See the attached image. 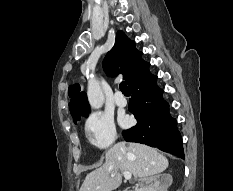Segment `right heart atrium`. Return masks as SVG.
<instances>
[{
    "label": "right heart atrium",
    "instance_id": "d8ad5b80",
    "mask_svg": "<svg viewBox=\"0 0 233 191\" xmlns=\"http://www.w3.org/2000/svg\"><path fill=\"white\" fill-rule=\"evenodd\" d=\"M85 131L90 143L98 149L110 147L116 139V127L112 117L96 112L85 123Z\"/></svg>",
    "mask_w": 233,
    "mask_h": 191
}]
</instances>
